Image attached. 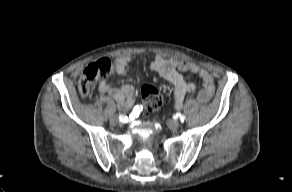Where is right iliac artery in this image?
Returning a JSON list of instances; mask_svg holds the SVG:
<instances>
[{"label":"right iliac artery","mask_w":292,"mask_h":192,"mask_svg":"<svg viewBox=\"0 0 292 192\" xmlns=\"http://www.w3.org/2000/svg\"><path fill=\"white\" fill-rule=\"evenodd\" d=\"M141 110H142V106H135L134 109H133V112L129 113L130 114V122L131 123H134V122L137 121V119H138L137 115H139Z\"/></svg>","instance_id":"right-iliac-artery-1"}]
</instances>
